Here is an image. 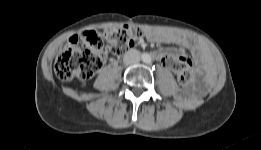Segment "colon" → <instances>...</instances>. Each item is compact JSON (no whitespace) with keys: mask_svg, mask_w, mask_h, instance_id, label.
I'll list each match as a JSON object with an SVG mask.
<instances>
[{"mask_svg":"<svg viewBox=\"0 0 261 150\" xmlns=\"http://www.w3.org/2000/svg\"><path fill=\"white\" fill-rule=\"evenodd\" d=\"M143 31L131 25L110 28L102 33L87 32L72 37L63 45L56 57L54 71L63 81L74 78L88 79L102 66L107 53L122 55L142 37ZM163 64L173 69L179 82L186 85L192 76L191 59L184 54L167 56Z\"/></svg>","mask_w":261,"mask_h":150,"instance_id":"obj_1","label":"colon"}]
</instances>
